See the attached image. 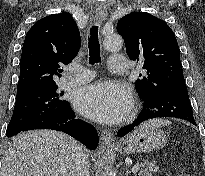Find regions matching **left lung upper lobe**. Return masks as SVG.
Returning <instances> with one entry per match:
<instances>
[{
  "label": "left lung upper lobe",
  "instance_id": "left-lung-upper-lobe-1",
  "mask_svg": "<svg viewBox=\"0 0 205 176\" xmlns=\"http://www.w3.org/2000/svg\"><path fill=\"white\" fill-rule=\"evenodd\" d=\"M117 31L123 37L127 55L141 61L145 76L136 81L143 100L170 85H185L180 50L172 29L161 19L145 12L122 17Z\"/></svg>",
  "mask_w": 205,
  "mask_h": 176
}]
</instances>
